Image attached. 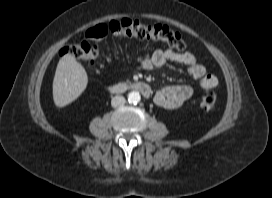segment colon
Segmentation results:
<instances>
[{
	"instance_id": "5ec220e1",
	"label": "colon",
	"mask_w": 272,
	"mask_h": 198,
	"mask_svg": "<svg viewBox=\"0 0 272 198\" xmlns=\"http://www.w3.org/2000/svg\"><path fill=\"white\" fill-rule=\"evenodd\" d=\"M107 35L119 37H133L138 39H153L166 42L172 48L183 51L186 43L181 35L163 25H146L137 19L122 18L107 23L97 24L87 30L85 39L77 44L63 48L62 54L84 62H95L100 54L97 42ZM215 91H205L201 98V105L205 110H211L216 104Z\"/></svg>"
}]
</instances>
